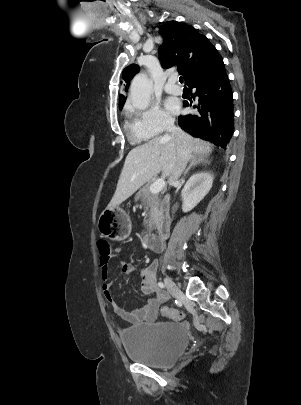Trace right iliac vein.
<instances>
[{
  "label": "right iliac vein",
  "instance_id": "1",
  "mask_svg": "<svg viewBox=\"0 0 301 405\" xmlns=\"http://www.w3.org/2000/svg\"><path fill=\"white\" fill-rule=\"evenodd\" d=\"M164 283L168 289V291L172 294L174 298H178L181 294L180 289L175 285V283L169 278H164Z\"/></svg>",
  "mask_w": 301,
  "mask_h": 405
}]
</instances>
